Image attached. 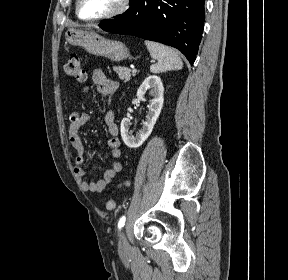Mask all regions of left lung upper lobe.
<instances>
[{"label":"left lung upper lobe","instance_id":"obj_1","mask_svg":"<svg viewBox=\"0 0 288 280\" xmlns=\"http://www.w3.org/2000/svg\"><path fill=\"white\" fill-rule=\"evenodd\" d=\"M134 1H136V0H131V1H130V3H129V5L133 4V3H134Z\"/></svg>","mask_w":288,"mask_h":280}]
</instances>
